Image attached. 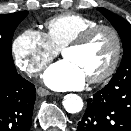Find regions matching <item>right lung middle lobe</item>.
<instances>
[{
    "label": "right lung middle lobe",
    "mask_w": 131,
    "mask_h": 131,
    "mask_svg": "<svg viewBox=\"0 0 131 131\" xmlns=\"http://www.w3.org/2000/svg\"><path fill=\"white\" fill-rule=\"evenodd\" d=\"M28 15V11L0 15V61L13 62L11 42L19 23Z\"/></svg>",
    "instance_id": "right-lung-middle-lobe-1"
}]
</instances>
